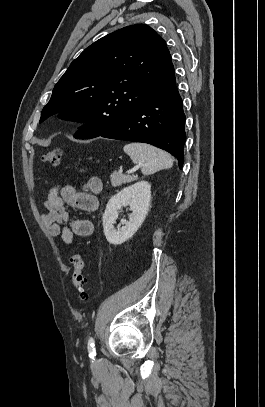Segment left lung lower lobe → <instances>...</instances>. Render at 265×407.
Masks as SVG:
<instances>
[{
  "label": "left lung lower lobe",
  "mask_w": 265,
  "mask_h": 407,
  "mask_svg": "<svg viewBox=\"0 0 265 407\" xmlns=\"http://www.w3.org/2000/svg\"><path fill=\"white\" fill-rule=\"evenodd\" d=\"M175 77L101 137L148 143L170 152L183 166L185 115Z\"/></svg>",
  "instance_id": "left-lung-lower-lobe-1"
}]
</instances>
